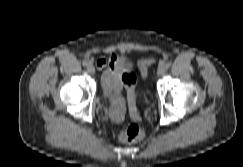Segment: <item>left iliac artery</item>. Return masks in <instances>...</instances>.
Wrapping results in <instances>:
<instances>
[{
  "mask_svg": "<svg viewBox=\"0 0 243 167\" xmlns=\"http://www.w3.org/2000/svg\"><path fill=\"white\" fill-rule=\"evenodd\" d=\"M170 66H171L170 63H166V64H165V68H166V69H168Z\"/></svg>",
  "mask_w": 243,
  "mask_h": 167,
  "instance_id": "1",
  "label": "left iliac artery"
}]
</instances>
